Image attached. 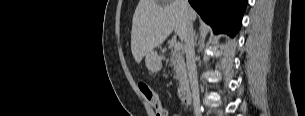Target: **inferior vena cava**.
<instances>
[{
	"label": "inferior vena cava",
	"mask_w": 305,
	"mask_h": 116,
	"mask_svg": "<svg viewBox=\"0 0 305 116\" xmlns=\"http://www.w3.org/2000/svg\"><path fill=\"white\" fill-rule=\"evenodd\" d=\"M182 6L187 14V10L189 9V3L187 0H182ZM185 54H186V62H187V69H188V76L192 90V97H193V107L194 112L196 114L200 113V106H199V87H198V79H197V71H196V64H195V50H194V33H193V24L192 20L187 17L186 19V32H185Z\"/></svg>",
	"instance_id": "inferior-vena-cava-1"
}]
</instances>
